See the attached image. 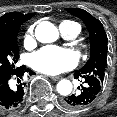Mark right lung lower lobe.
I'll return each instance as SVG.
<instances>
[{"instance_id": "right-lung-lower-lobe-1", "label": "right lung lower lobe", "mask_w": 117, "mask_h": 117, "mask_svg": "<svg viewBox=\"0 0 117 117\" xmlns=\"http://www.w3.org/2000/svg\"><path fill=\"white\" fill-rule=\"evenodd\" d=\"M25 71L32 75L33 72L26 69L25 65L14 68L10 71L0 70V108L12 110L22 105L24 101V83L12 88L9 86V80L14 78H22ZM19 82L20 80L17 79Z\"/></svg>"}]
</instances>
